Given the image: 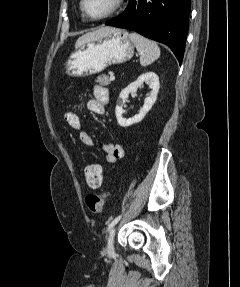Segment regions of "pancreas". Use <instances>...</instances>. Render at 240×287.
<instances>
[{
    "label": "pancreas",
    "instance_id": "pancreas-1",
    "mask_svg": "<svg viewBox=\"0 0 240 287\" xmlns=\"http://www.w3.org/2000/svg\"><path fill=\"white\" fill-rule=\"evenodd\" d=\"M96 82L99 83L100 85L106 86L111 84L112 80L109 79L108 76L102 75L97 77Z\"/></svg>",
    "mask_w": 240,
    "mask_h": 287
}]
</instances>
